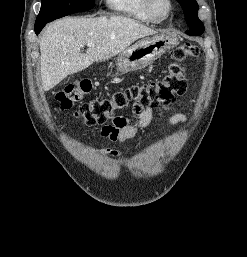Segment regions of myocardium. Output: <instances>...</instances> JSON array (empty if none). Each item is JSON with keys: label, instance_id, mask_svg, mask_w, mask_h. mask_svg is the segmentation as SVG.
<instances>
[{"label": "myocardium", "instance_id": "myocardium-1", "mask_svg": "<svg viewBox=\"0 0 247 257\" xmlns=\"http://www.w3.org/2000/svg\"><path fill=\"white\" fill-rule=\"evenodd\" d=\"M165 4V9L161 11L159 9L160 0H145V8L149 16L154 22H162L166 20L173 11L172 0H161Z\"/></svg>", "mask_w": 247, "mask_h": 257}]
</instances>
